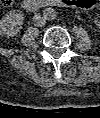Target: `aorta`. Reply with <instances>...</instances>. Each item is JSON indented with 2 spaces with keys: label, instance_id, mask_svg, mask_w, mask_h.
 I'll return each mask as SVG.
<instances>
[{
  "label": "aorta",
  "instance_id": "obj_1",
  "mask_svg": "<svg viewBox=\"0 0 100 118\" xmlns=\"http://www.w3.org/2000/svg\"><path fill=\"white\" fill-rule=\"evenodd\" d=\"M42 15L47 21H52L57 17V11L54 8L47 7L43 10Z\"/></svg>",
  "mask_w": 100,
  "mask_h": 118
}]
</instances>
